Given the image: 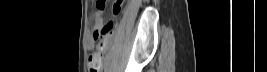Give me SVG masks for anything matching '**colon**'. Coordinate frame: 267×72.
Wrapping results in <instances>:
<instances>
[{"label": "colon", "instance_id": "1", "mask_svg": "<svg viewBox=\"0 0 267 72\" xmlns=\"http://www.w3.org/2000/svg\"><path fill=\"white\" fill-rule=\"evenodd\" d=\"M103 1H97V8L101 9L103 7ZM115 11H118V6L114 7ZM117 21L109 22L104 28L103 31L107 35H112L116 27ZM104 44H100L96 53L92 54L88 61V68L90 72H100L103 63V53H104Z\"/></svg>", "mask_w": 267, "mask_h": 72}]
</instances>
